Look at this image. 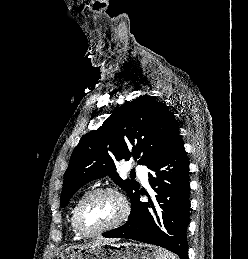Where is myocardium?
<instances>
[{"label": "myocardium", "mask_w": 248, "mask_h": 259, "mask_svg": "<svg viewBox=\"0 0 248 259\" xmlns=\"http://www.w3.org/2000/svg\"><path fill=\"white\" fill-rule=\"evenodd\" d=\"M110 193L115 195L119 201L121 202L122 211L120 216L111 224L106 225L98 230L90 231L87 230L82 222H81V211L84 205L93 197L99 195V194H105ZM130 212L129 204L122 192H120L117 188L111 187V186H105V187H99L96 189H93L89 192H87L77 203L75 210H74V225L77 229V231L84 237H95L98 235H101L105 232L111 231L113 229L118 228L121 226L128 218Z\"/></svg>", "instance_id": "1"}]
</instances>
